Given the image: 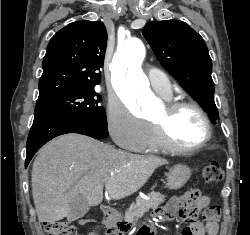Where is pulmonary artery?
I'll return each mask as SVG.
<instances>
[{"label":"pulmonary artery","instance_id":"obj_1","mask_svg":"<svg viewBox=\"0 0 250 235\" xmlns=\"http://www.w3.org/2000/svg\"><path fill=\"white\" fill-rule=\"evenodd\" d=\"M149 80L153 90L162 97L169 98L172 94L171 83L168 77L157 70L149 72Z\"/></svg>","mask_w":250,"mask_h":235}]
</instances>
